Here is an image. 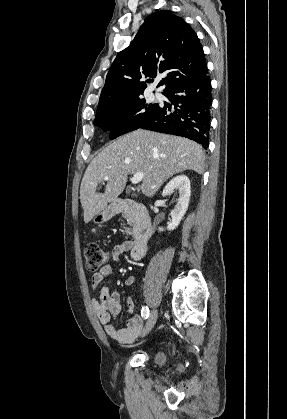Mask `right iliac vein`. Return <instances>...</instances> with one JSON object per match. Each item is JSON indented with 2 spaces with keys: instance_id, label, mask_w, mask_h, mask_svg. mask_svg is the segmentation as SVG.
Here are the masks:
<instances>
[{
  "instance_id": "63e3f726",
  "label": "right iliac vein",
  "mask_w": 287,
  "mask_h": 419,
  "mask_svg": "<svg viewBox=\"0 0 287 419\" xmlns=\"http://www.w3.org/2000/svg\"><path fill=\"white\" fill-rule=\"evenodd\" d=\"M157 318H158V312H157L156 309H153L151 311L150 315H149V318H148L147 322H146V325H145L144 330L142 332V336L147 335L152 330V328L154 327V325L157 321Z\"/></svg>"
}]
</instances>
